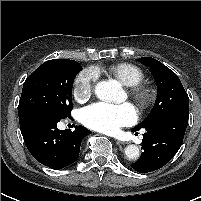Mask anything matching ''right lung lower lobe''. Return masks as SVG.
Masks as SVG:
<instances>
[{
  "mask_svg": "<svg viewBox=\"0 0 201 201\" xmlns=\"http://www.w3.org/2000/svg\"><path fill=\"white\" fill-rule=\"evenodd\" d=\"M60 118L39 112L19 120L24 142L31 155L41 164L51 169H61L79 157L82 139L90 131L76 126L74 131L59 130Z\"/></svg>",
  "mask_w": 201,
  "mask_h": 201,
  "instance_id": "98d812e1",
  "label": "right lung lower lobe"
}]
</instances>
